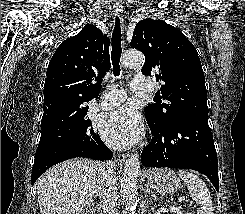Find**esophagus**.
Instances as JSON below:
<instances>
[{"mask_svg": "<svg viewBox=\"0 0 245 214\" xmlns=\"http://www.w3.org/2000/svg\"><path fill=\"white\" fill-rule=\"evenodd\" d=\"M114 11L117 15L120 16L121 21L123 22V8L121 5L116 4L114 5ZM124 26V24H123ZM128 158V154H118L117 161L118 162H124Z\"/></svg>", "mask_w": 245, "mask_h": 214, "instance_id": "1", "label": "esophagus"}]
</instances>
